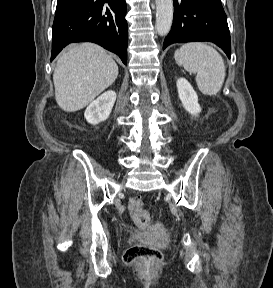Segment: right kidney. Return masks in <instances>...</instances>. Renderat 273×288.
Instances as JSON below:
<instances>
[{
	"label": "right kidney",
	"mask_w": 273,
	"mask_h": 288,
	"mask_svg": "<svg viewBox=\"0 0 273 288\" xmlns=\"http://www.w3.org/2000/svg\"><path fill=\"white\" fill-rule=\"evenodd\" d=\"M116 101L115 91L109 90L90 103L84 116L88 123L96 125L108 119Z\"/></svg>",
	"instance_id": "obj_1"
}]
</instances>
